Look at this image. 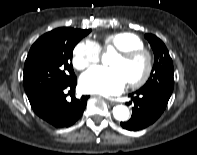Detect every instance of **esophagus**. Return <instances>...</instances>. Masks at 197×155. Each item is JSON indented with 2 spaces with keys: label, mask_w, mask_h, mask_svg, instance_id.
Segmentation results:
<instances>
[{
  "label": "esophagus",
  "mask_w": 197,
  "mask_h": 155,
  "mask_svg": "<svg viewBox=\"0 0 197 155\" xmlns=\"http://www.w3.org/2000/svg\"><path fill=\"white\" fill-rule=\"evenodd\" d=\"M108 102L110 103V105H116L117 104V102L113 101V100H109Z\"/></svg>",
  "instance_id": "1"
}]
</instances>
